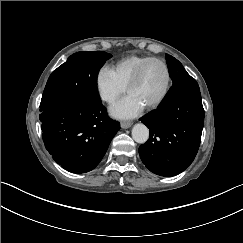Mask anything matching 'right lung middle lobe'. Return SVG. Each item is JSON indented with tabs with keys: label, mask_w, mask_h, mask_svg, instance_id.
I'll list each match as a JSON object with an SVG mask.
<instances>
[{
	"label": "right lung middle lobe",
	"mask_w": 243,
	"mask_h": 243,
	"mask_svg": "<svg viewBox=\"0 0 243 243\" xmlns=\"http://www.w3.org/2000/svg\"><path fill=\"white\" fill-rule=\"evenodd\" d=\"M112 55L103 51L77 52L50 75L45 86L40 111H45L68 98L101 101L97 76Z\"/></svg>",
	"instance_id": "dd1d6c3e"
}]
</instances>
